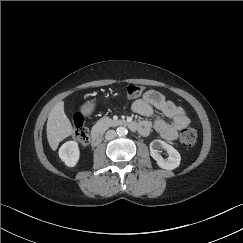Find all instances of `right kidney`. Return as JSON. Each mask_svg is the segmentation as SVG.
<instances>
[{
  "label": "right kidney",
  "instance_id": "right-kidney-1",
  "mask_svg": "<svg viewBox=\"0 0 243 243\" xmlns=\"http://www.w3.org/2000/svg\"><path fill=\"white\" fill-rule=\"evenodd\" d=\"M59 157L66 166H76L80 158L78 143L75 141H68L64 143L59 149Z\"/></svg>",
  "mask_w": 243,
  "mask_h": 243
}]
</instances>
